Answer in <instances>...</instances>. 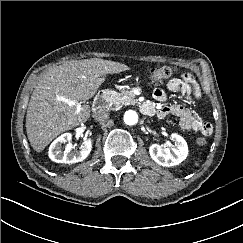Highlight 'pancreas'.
<instances>
[{
    "label": "pancreas",
    "instance_id": "cf45deb5",
    "mask_svg": "<svg viewBox=\"0 0 243 243\" xmlns=\"http://www.w3.org/2000/svg\"><path fill=\"white\" fill-rule=\"evenodd\" d=\"M135 94L133 93V90H121L119 92L116 91H110L106 97L105 100L107 102V105L113 106L114 109H120L122 106L130 105L134 103Z\"/></svg>",
    "mask_w": 243,
    "mask_h": 243
}]
</instances>
